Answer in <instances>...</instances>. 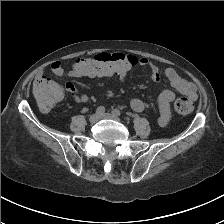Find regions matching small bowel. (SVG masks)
<instances>
[{
  "mask_svg": "<svg viewBox=\"0 0 224 224\" xmlns=\"http://www.w3.org/2000/svg\"><path fill=\"white\" fill-rule=\"evenodd\" d=\"M122 55L128 57L133 62V65H139V66L149 68L151 73V78L155 82L160 81V69L157 65L153 64L149 59L145 57L139 58L131 54H127V55L122 54ZM51 70L55 75L59 77H80V75L77 73L76 70H74V68L70 70H65L60 61L53 62L51 64ZM117 76L120 81H124L126 74H119ZM165 76L167 77L173 89L187 96L191 100H196L197 93H196L195 86L190 81L180 76L176 72V70H174L173 68L165 69ZM44 78H47V77L45 76L43 71H40L37 75L36 81L44 79ZM65 87H66V90L71 94V96L77 103H86L88 101L87 95L83 93H79L72 83L68 82ZM174 99H175V93L173 90H170V89L163 90L157 98V107L159 112L158 122L162 126L166 125L170 120V117H171L170 103ZM130 106L134 111L141 112L145 108H147L149 105L147 102H145L144 100L140 98H133L130 101Z\"/></svg>",
  "mask_w": 224,
  "mask_h": 224,
  "instance_id": "1",
  "label": "small bowel"
}]
</instances>
